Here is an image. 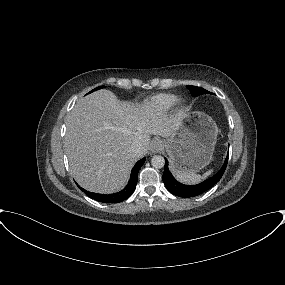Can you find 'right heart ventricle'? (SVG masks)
<instances>
[{"instance_id":"obj_1","label":"right heart ventricle","mask_w":285,"mask_h":285,"mask_svg":"<svg viewBox=\"0 0 285 285\" xmlns=\"http://www.w3.org/2000/svg\"><path fill=\"white\" fill-rule=\"evenodd\" d=\"M177 101V97L173 94L163 93L151 98L148 103L153 113L162 114L168 112Z\"/></svg>"}]
</instances>
